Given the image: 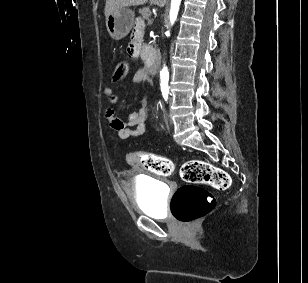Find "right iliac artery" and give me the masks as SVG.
<instances>
[{
    "label": "right iliac artery",
    "mask_w": 308,
    "mask_h": 283,
    "mask_svg": "<svg viewBox=\"0 0 308 283\" xmlns=\"http://www.w3.org/2000/svg\"><path fill=\"white\" fill-rule=\"evenodd\" d=\"M163 96H164L165 100H167V97H168V96H167L166 94H163Z\"/></svg>",
    "instance_id": "obj_1"
}]
</instances>
